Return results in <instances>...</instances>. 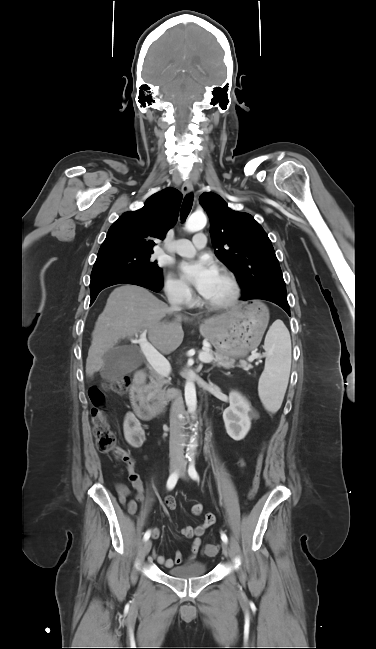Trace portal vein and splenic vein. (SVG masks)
I'll use <instances>...</instances> for the list:
<instances>
[{"mask_svg": "<svg viewBox=\"0 0 376 649\" xmlns=\"http://www.w3.org/2000/svg\"><path fill=\"white\" fill-rule=\"evenodd\" d=\"M146 333H147L146 330L142 332L138 340L144 356L146 357L148 363L156 372L164 376H168L171 372L170 363L162 354H160L154 348V346L150 342H148L146 338ZM256 357L257 355H252L248 358V360L253 361ZM199 360L202 363H210L211 361H213V356L209 353H200ZM249 368H250L249 366H246L244 369L248 370Z\"/></svg>", "mask_w": 376, "mask_h": 649, "instance_id": "portal-vein-and-splenic-vein-1", "label": "portal vein and splenic vein"}]
</instances>
